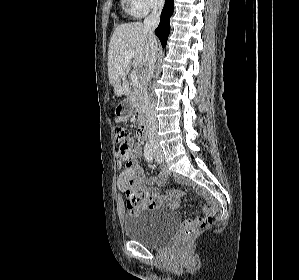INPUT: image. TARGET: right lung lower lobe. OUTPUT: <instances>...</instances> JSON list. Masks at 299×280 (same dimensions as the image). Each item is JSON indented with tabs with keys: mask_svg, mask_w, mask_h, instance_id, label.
Listing matches in <instances>:
<instances>
[{
	"mask_svg": "<svg viewBox=\"0 0 299 280\" xmlns=\"http://www.w3.org/2000/svg\"><path fill=\"white\" fill-rule=\"evenodd\" d=\"M174 10V0H165V5L161 13V21L158 28L155 30V34L161 41L162 47L166 46L167 39L170 33V17Z\"/></svg>",
	"mask_w": 299,
	"mask_h": 280,
	"instance_id": "obj_1",
	"label": "right lung lower lobe"
}]
</instances>
